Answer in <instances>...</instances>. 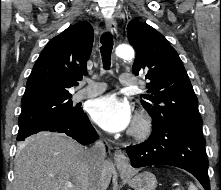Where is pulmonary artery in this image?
Wrapping results in <instances>:
<instances>
[{
    "mask_svg": "<svg viewBox=\"0 0 221 190\" xmlns=\"http://www.w3.org/2000/svg\"><path fill=\"white\" fill-rule=\"evenodd\" d=\"M120 83L126 87H133L138 85V81L130 73H122L120 75ZM105 89L106 86L104 83L89 82L84 88L74 94L73 100L78 102L86 98L94 97L102 93Z\"/></svg>",
    "mask_w": 221,
    "mask_h": 190,
    "instance_id": "pulmonary-artery-1",
    "label": "pulmonary artery"
}]
</instances>
